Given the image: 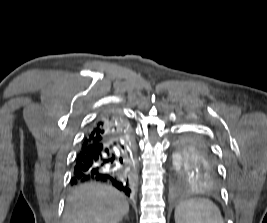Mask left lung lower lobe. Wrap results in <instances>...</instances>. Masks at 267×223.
I'll list each match as a JSON object with an SVG mask.
<instances>
[{"mask_svg": "<svg viewBox=\"0 0 267 223\" xmlns=\"http://www.w3.org/2000/svg\"><path fill=\"white\" fill-rule=\"evenodd\" d=\"M177 176L184 180L183 189H220L215 179L222 171H177Z\"/></svg>", "mask_w": 267, "mask_h": 223, "instance_id": "0a47b994", "label": "left lung lower lobe"}]
</instances>
